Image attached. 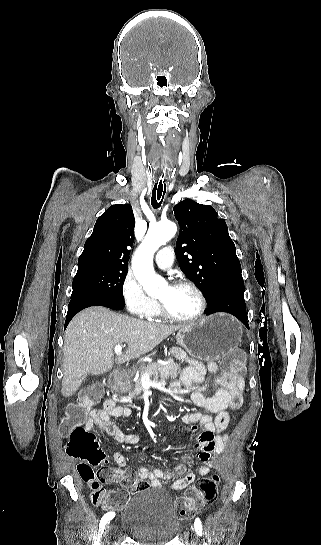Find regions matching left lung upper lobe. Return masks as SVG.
Here are the masks:
<instances>
[{
  "mask_svg": "<svg viewBox=\"0 0 321 545\" xmlns=\"http://www.w3.org/2000/svg\"><path fill=\"white\" fill-rule=\"evenodd\" d=\"M174 214L180 225L176 243L180 269L206 298L219 283L242 276L235 244L213 207L184 200L174 207Z\"/></svg>",
  "mask_w": 321,
  "mask_h": 545,
  "instance_id": "obj_1",
  "label": "left lung upper lobe"
}]
</instances>
